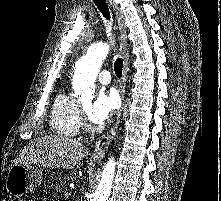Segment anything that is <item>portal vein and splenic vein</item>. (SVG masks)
Returning <instances> with one entry per match:
<instances>
[{"label": "portal vein and splenic vein", "mask_w": 221, "mask_h": 201, "mask_svg": "<svg viewBox=\"0 0 221 201\" xmlns=\"http://www.w3.org/2000/svg\"><path fill=\"white\" fill-rule=\"evenodd\" d=\"M68 196H69V194H68V193H65V197L68 198Z\"/></svg>", "instance_id": "18ae733b"}]
</instances>
